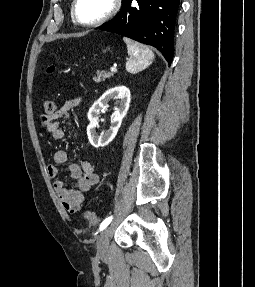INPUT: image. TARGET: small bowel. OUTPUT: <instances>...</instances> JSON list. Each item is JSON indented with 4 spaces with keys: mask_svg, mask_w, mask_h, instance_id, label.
<instances>
[{
    "mask_svg": "<svg viewBox=\"0 0 255 287\" xmlns=\"http://www.w3.org/2000/svg\"><path fill=\"white\" fill-rule=\"evenodd\" d=\"M79 103V98L68 100L54 113L42 116V124L53 140H62L64 138V131L60 126L59 120L61 118H69L70 113ZM53 160L54 164H50L47 167V173L51 178H56L60 173L59 166L68 160V154L65 150H57L53 155ZM68 171L70 177L75 181V186L69 188L63 180L57 179L53 187L64 211L68 214H76L81 210L85 202L84 194L98 183L99 177L93 165L86 160L70 164Z\"/></svg>",
    "mask_w": 255,
    "mask_h": 287,
    "instance_id": "1",
    "label": "small bowel"
}]
</instances>
